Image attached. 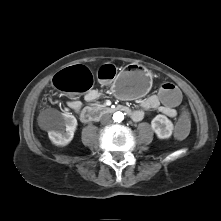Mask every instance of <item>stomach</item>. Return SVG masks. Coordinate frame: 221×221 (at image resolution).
Wrapping results in <instances>:
<instances>
[{
	"label": "stomach",
	"instance_id": "1",
	"mask_svg": "<svg viewBox=\"0 0 221 221\" xmlns=\"http://www.w3.org/2000/svg\"><path fill=\"white\" fill-rule=\"evenodd\" d=\"M152 83V75L139 65L130 64L119 72L112 84L114 94L124 99L143 96Z\"/></svg>",
	"mask_w": 221,
	"mask_h": 221
}]
</instances>
